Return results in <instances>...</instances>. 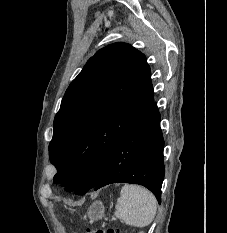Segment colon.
<instances>
[{"mask_svg": "<svg viewBox=\"0 0 227 233\" xmlns=\"http://www.w3.org/2000/svg\"><path fill=\"white\" fill-rule=\"evenodd\" d=\"M81 233H120L118 229L108 228V229H91L87 228Z\"/></svg>", "mask_w": 227, "mask_h": 233, "instance_id": "1", "label": "colon"}]
</instances>
